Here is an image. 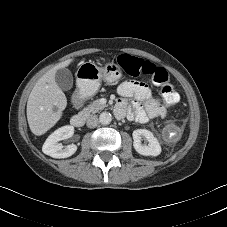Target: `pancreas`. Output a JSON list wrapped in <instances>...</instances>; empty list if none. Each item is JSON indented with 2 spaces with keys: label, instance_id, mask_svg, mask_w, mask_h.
Masks as SVG:
<instances>
[{
  "label": "pancreas",
  "instance_id": "cf45deb5",
  "mask_svg": "<svg viewBox=\"0 0 227 227\" xmlns=\"http://www.w3.org/2000/svg\"><path fill=\"white\" fill-rule=\"evenodd\" d=\"M105 107L106 105L102 104L100 100H95L82 110V114L84 115L95 114L100 110H103Z\"/></svg>",
  "mask_w": 227,
  "mask_h": 227
}]
</instances>
